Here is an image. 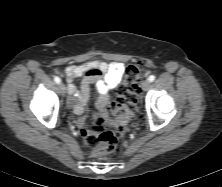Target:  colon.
<instances>
[{"mask_svg": "<svg viewBox=\"0 0 222 187\" xmlns=\"http://www.w3.org/2000/svg\"><path fill=\"white\" fill-rule=\"evenodd\" d=\"M141 63V61H137L127 67L117 99L106 109V119L116 126V131L105 130L102 122H97L93 127L82 130L87 155L99 156L116 153L119 138L124 133L125 126L141 118L138 85Z\"/></svg>", "mask_w": 222, "mask_h": 187, "instance_id": "5ec220e1", "label": "colon"}]
</instances>
